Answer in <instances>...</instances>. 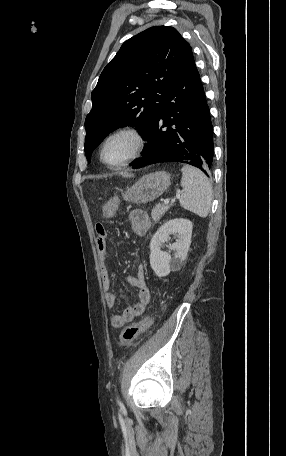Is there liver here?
Masks as SVG:
<instances>
[{"instance_id":"1","label":"liver","mask_w":286,"mask_h":456,"mask_svg":"<svg viewBox=\"0 0 286 456\" xmlns=\"http://www.w3.org/2000/svg\"><path fill=\"white\" fill-rule=\"evenodd\" d=\"M124 176H126V177H130V176H132V175H131V174H127V175H124Z\"/></svg>"}]
</instances>
